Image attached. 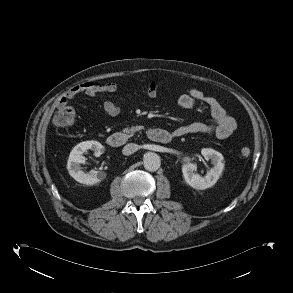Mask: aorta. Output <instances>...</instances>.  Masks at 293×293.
Listing matches in <instances>:
<instances>
[{"instance_id": "762f6f07", "label": "aorta", "mask_w": 293, "mask_h": 293, "mask_svg": "<svg viewBox=\"0 0 293 293\" xmlns=\"http://www.w3.org/2000/svg\"><path fill=\"white\" fill-rule=\"evenodd\" d=\"M144 168L148 171H156L161 165L160 157L153 152H147L143 157Z\"/></svg>"}]
</instances>
